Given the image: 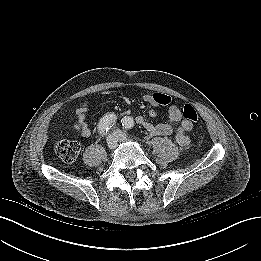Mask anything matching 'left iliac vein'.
<instances>
[{"mask_svg":"<svg viewBox=\"0 0 261 261\" xmlns=\"http://www.w3.org/2000/svg\"><path fill=\"white\" fill-rule=\"evenodd\" d=\"M114 134H115V136H116L118 141L128 140L127 135L123 131H121V130H115Z\"/></svg>","mask_w":261,"mask_h":261,"instance_id":"obj_1","label":"left iliac vein"}]
</instances>
